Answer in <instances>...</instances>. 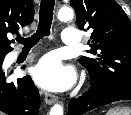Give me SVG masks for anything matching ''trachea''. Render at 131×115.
I'll return each mask as SVG.
<instances>
[{"label": "trachea", "instance_id": "trachea-1", "mask_svg": "<svg viewBox=\"0 0 131 115\" xmlns=\"http://www.w3.org/2000/svg\"><path fill=\"white\" fill-rule=\"evenodd\" d=\"M55 0H41L39 11L38 29L34 35L29 38L17 37L16 41L24 45L25 49H30L40 39L50 35V28L53 19Z\"/></svg>", "mask_w": 131, "mask_h": 115}]
</instances>
